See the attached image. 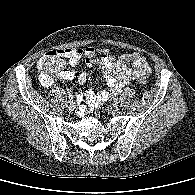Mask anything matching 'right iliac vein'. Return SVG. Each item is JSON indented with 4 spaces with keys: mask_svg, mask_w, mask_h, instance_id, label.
Masks as SVG:
<instances>
[{
    "mask_svg": "<svg viewBox=\"0 0 195 195\" xmlns=\"http://www.w3.org/2000/svg\"><path fill=\"white\" fill-rule=\"evenodd\" d=\"M68 108H70V109H75L76 108V104H75V102H73V101H69L68 102Z\"/></svg>",
    "mask_w": 195,
    "mask_h": 195,
    "instance_id": "63e3f726",
    "label": "right iliac vein"
}]
</instances>
